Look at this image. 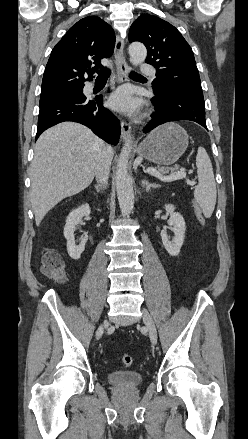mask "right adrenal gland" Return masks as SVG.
<instances>
[{"instance_id":"obj_1","label":"right adrenal gland","mask_w":248,"mask_h":439,"mask_svg":"<svg viewBox=\"0 0 248 439\" xmlns=\"http://www.w3.org/2000/svg\"><path fill=\"white\" fill-rule=\"evenodd\" d=\"M95 189L97 192H100V187L98 185H95Z\"/></svg>"}]
</instances>
